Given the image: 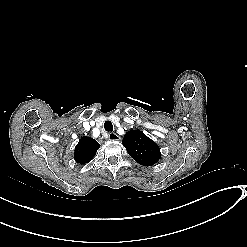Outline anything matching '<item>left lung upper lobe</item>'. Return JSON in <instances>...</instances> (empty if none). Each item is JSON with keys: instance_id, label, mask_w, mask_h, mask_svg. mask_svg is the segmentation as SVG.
<instances>
[{"instance_id": "left-lung-upper-lobe-1", "label": "left lung upper lobe", "mask_w": 247, "mask_h": 247, "mask_svg": "<svg viewBox=\"0 0 247 247\" xmlns=\"http://www.w3.org/2000/svg\"><path fill=\"white\" fill-rule=\"evenodd\" d=\"M122 144L128 154L143 166H152L161 157L158 145L140 130L127 132Z\"/></svg>"}]
</instances>
